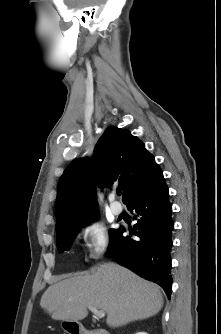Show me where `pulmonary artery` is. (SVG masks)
<instances>
[{
  "label": "pulmonary artery",
  "instance_id": "pulmonary-artery-1",
  "mask_svg": "<svg viewBox=\"0 0 221 334\" xmlns=\"http://www.w3.org/2000/svg\"><path fill=\"white\" fill-rule=\"evenodd\" d=\"M110 208L114 215H120L123 211L122 206L115 200V197L110 198Z\"/></svg>",
  "mask_w": 221,
  "mask_h": 334
}]
</instances>
